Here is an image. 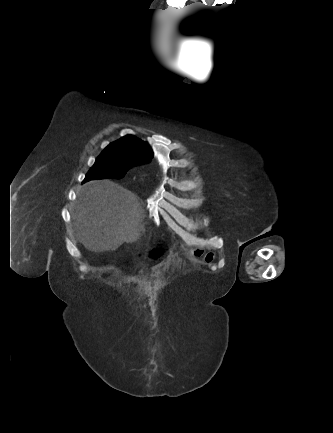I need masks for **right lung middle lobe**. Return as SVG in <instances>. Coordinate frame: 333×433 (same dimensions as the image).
Returning a JSON list of instances; mask_svg holds the SVG:
<instances>
[{"instance_id": "dd1d6c3e", "label": "right lung middle lobe", "mask_w": 333, "mask_h": 433, "mask_svg": "<svg viewBox=\"0 0 333 433\" xmlns=\"http://www.w3.org/2000/svg\"><path fill=\"white\" fill-rule=\"evenodd\" d=\"M139 161L130 156H116L102 152L85 177V181L103 178H122L129 168L139 165Z\"/></svg>"}]
</instances>
